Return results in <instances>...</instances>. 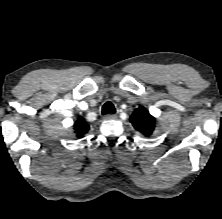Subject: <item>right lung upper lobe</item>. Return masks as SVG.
Listing matches in <instances>:
<instances>
[{
    "label": "right lung upper lobe",
    "mask_w": 222,
    "mask_h": 219,
    "mask_svg": "<svg viewBox=\"0 0 222 219\" xmlns=\"http://www.w3.org/2000/svg\"><path fill=\"white\" fill-rule=\"evenodd\" d=\"M74 130L77 137H82L89 130V125L83 118H79L74 124Z\"/></svg>",
    "instance_id": "right-lung-upper-lobe-1"
}]
</instances>
